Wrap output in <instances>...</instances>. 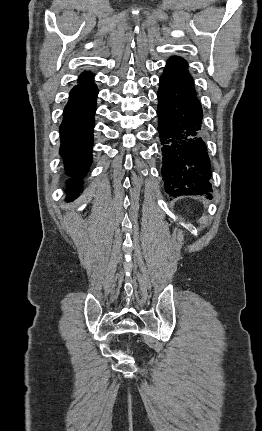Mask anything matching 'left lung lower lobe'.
<instances>
[{
	"mask_svg": "<svg viewBox=\"0 0 262 431\" xmlns=\"http://www.w3.org/2000/svg\"><path fill=\"white\" fill-rule=\"evenodd\" d=\"M157 96L165 191L173 197L211 192V163L196 94L161 77Z\"/></svg>",
	"mask_w": 262,
	"mask_h": 431,
	"instance_id": "0a47b994",
	"label": "left lung lower lobe"
}]
</instances>
